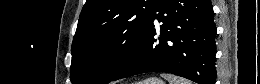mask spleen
I'll use <instances>...</instances> for the list:
<instances>
[{"label": "spleen", "mask_w": 260, "mask_h": 84, "mask_svg": "<svg viewBox=\"0 0 260 84\" xmlns=\"http://www.w3.org/2000/svg\"><path fill=\"white\" fill-rule=\"evenodd\" d=\"M161 76L169 81V84H191L190 81L184 78H178L171 74H161Z\"/></svg>", "instance_id": "spleen-1"}]
</instances>
